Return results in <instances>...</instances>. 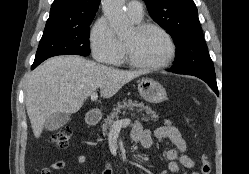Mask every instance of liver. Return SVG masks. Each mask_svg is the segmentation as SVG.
Segmentation results:
<instances>
[{
  "label": "liver",
  "instance_id": "obj_1",
  "mask_svg": "<svg viewBox=\"0 0 249 174\" xmlns=\"http://www.w3.org/2000/svg\"><path fill=\"white\" fill-rule=\"evenodd\" d=\"M143 74L144 71L119 70L79 56L48 59L26 81V109L34 136L40 137L50 115L76 113L98 88L101 97L110 98Z\"/></svg>",
  "mask_w": 249,
  "mask_h": 174
}]
</instances>
